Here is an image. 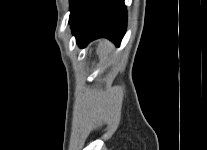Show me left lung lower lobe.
<instances>
[{"label":"left lung lower lobe","instance_id":"obj_1","mask_svg":"<svg viewBox=\"0 0 207 150\" xmlns=\"http://www.w3.org/2000/svg\"><path fill=\"white\" fill-rule=\"evenodd\" d=\"M69 23L80 47L100 37L119 46L127 24L124 0H70Z\"/></svg>","mask_w":207,"mask_h":150}]
</instances>
